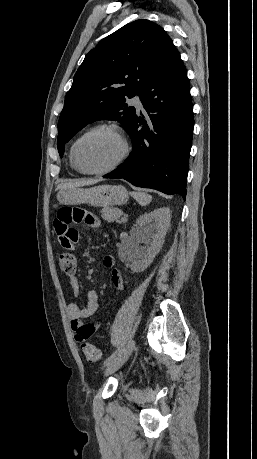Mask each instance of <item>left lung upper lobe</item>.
<instances>
[{"label": "left lung upper lobe", "instance_id": "5c2ea615", "mask_svg": "<svg viewBox=\"0 0 257 459\" xmlns=\"http://www.w3.org/2000/svg\"><path fill=\"white\" fill-rule=\"evenodd\" d=\"M175 46L162 27L145 19L129 23L88 52L65 97L57 147L97 120H117L127 130L136 110L127 98L140 95Z\"/></svg>", "mask_w": 257, "mask_h": 459}]
</instances>
